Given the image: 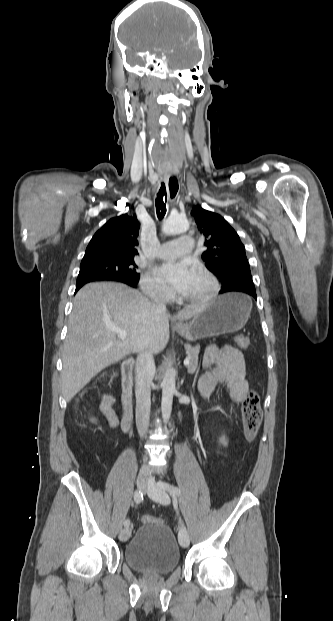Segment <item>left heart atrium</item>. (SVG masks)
I'll list each match as a JSON object with an SVG mask.
<instances>
[{
	"label": "left heart atrium",
	"mask_w": 333,
	"mask_h": 621,
	"mask_svg": "<svg viewBox=\"0 0 333 621\" xmlns=\"http://www.w3.org/2000/svg\"><path fill=\"white\" fill-rule=\"evenodd\" d=\"M159 279L172 290L181 293L194 275V269L184 261H167L157 268Z\"/></svg>",
	"instance_id": "left-heart-atrium-1"
}]
</instances>
